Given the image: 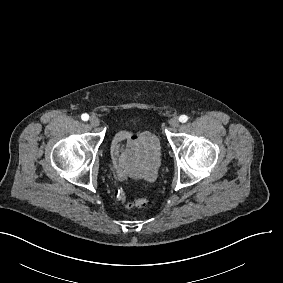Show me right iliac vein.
<instances>
[{
    "label": "right iliac vein",
    "mask_w": 283,
    "mask_h": 283,
    "mask_svg": "<svg viewBox=\"0 0 283 283\" xmlns=\"http://www.w3.org/2000/svg\"><path fill=\"white\" fill-rule=\"evenodd\" d=\"M89 122H90V124L92 125V126H99V124H100V120H99V118L98 117H96V116H92L91 118H90V120H89Z\"/></svg>",
    "instance_id": "obj_1"
}]
</instances>
